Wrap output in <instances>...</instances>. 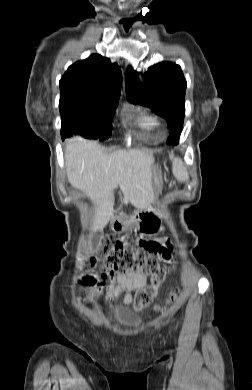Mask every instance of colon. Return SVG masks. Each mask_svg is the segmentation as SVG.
I'll use <instances>...</instances> for the list:
<instances>
[{
    "mask_svg": "<svg viewBox=\"0 0 252 390\" xmlns=\"http://www.w3.org/2000/svg\"><path fill=\"white\" fill-rule=\"evenodd\" d=\"M145 233H152L150 225L144 226ZM150 243L146 239H140L135 248L130 247L124 239L105 236L98 247V257L105 267L114 273L135 272L150 276V283L139 289L134 296L135 310H141L148 306L157 294V291L166 277V271L160 266L154 253L149 252ZM84 282L89 285H97L95 277H86ZM176 293H172L167 302H172ZM160 308L159 306L157 307Z\"/></svg>",
    "mask_w": 252,
    "mask_h": 390,
    "instance_id": "obj_1",
    "label": "colon"
}]
</instances>
